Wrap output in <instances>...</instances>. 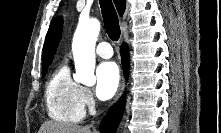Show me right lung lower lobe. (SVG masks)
Masks as SVG:
<instances>
[{
    "mask_svg": "<svg viewBox=\"0 0 221 133\" xmlns=\"http://www.w3.org/2000/svg\"><path fill=\"white\" fill-rule=\"evenodd\" d=\"M122 64L125 74L129 72V54L127 45L124 43L121 48ZM125 96L115 104L104 117L100 124L101 133H115L124 112Z\"/></svg>",
    "mask_w": 221,
    "mask_h": 133,
    "instance_id": "98d812e1",
    "label": "right lung lower lobe"
}]
</instances>
